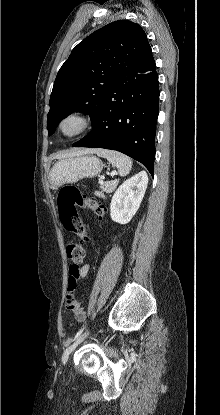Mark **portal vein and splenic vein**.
<instances>
[{
	"instance_id": "18ae733b",
	"label": "portal vein and splenic vein",
	"mask_w": 220,
	"mask_h": 415,
	"mask_svg": "<svg viewBox=\"0 0 220 415\" xmlns=\"http://www.w3.org/2000/svg\"><path fill=\"white\" fill-rule=\"evenodd\" d=\"M103 179H104V177L102 176V177H101V181H100V182H103V181H102Z\"/></svg>"
}]
</instances>
